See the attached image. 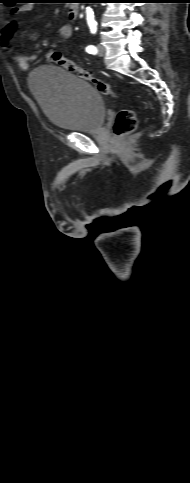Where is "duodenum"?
Returning <instances> with one entry per match:
<instances>
[{
	"instance_id": "1",
	"label": "duodenum",
	"mask_w": 190,
	"mask_h": 483,
	"mask_svg": "<svg viewBox=\"0 0 190 483\" xmlns=\"http://www.w3.org/2000/svg\"><path fill=\"white\" fill-rule=\"evenodd\" d=\"M78 15H79V5L77 4L76 1H72V3L68 8V17L71 20H75L77 19Z\"/></svg>"
}]
</instances>
